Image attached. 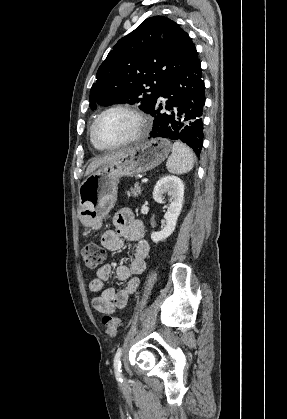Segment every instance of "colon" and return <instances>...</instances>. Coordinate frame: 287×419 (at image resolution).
<instances>
[{
    "label": "colon",
    "mask_w": 287,
    "mask_h": 419,
    "mask_svg": "<svg viewBox=\"0 0 287 419\" xmlns=\"http://www.w3.org/2000/svg\"><path fill=\"white\" fill-rule=\"evenodd\" d=\"M82 255L85 267L88 270L101 268L107 257L105 249L95 242L85 244L82 250ZM102 323L105 327L107 335L115 336L118 332L121 321L119 317L107 314L103 316Z\"/></svg>",
    "instance_id": "colon-1"
}]
</instances>
